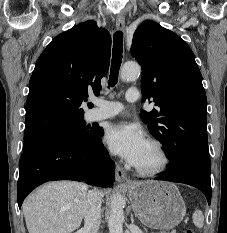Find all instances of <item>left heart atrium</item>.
<instances>
[{
	"mask_svg": "<svg viewBox=\"0 0 227 233\" xmlns=\"http://www.w3.org/2000/svg\"><path fill=\"white\" fill-rule=\"evenodd\" d=\"M105 141L114 153L131 164L136 163L148 144L140 127L128 122L111 125L106 132Z\"/></svg>",
	"mask_w": 227,
	"mask_h": 233,
	"instance_id": "1",
	"label": "left heart atrium"
}]
</instances>
